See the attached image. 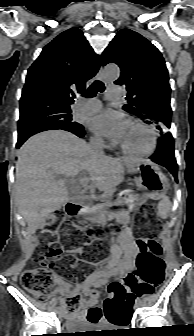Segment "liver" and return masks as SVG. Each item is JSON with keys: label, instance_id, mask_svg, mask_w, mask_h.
Here are the masks:
<instances>
[{"label": "liver", "instance_id": "obj_1", "mask_svg": "<svg viewBox=\"0 0 194 336\" xmlns=\"http://www.w3.org/2000/svg\"><path fill=\"white\" fill-rule=\"evenodd\" d=\"M139 160L98 154L84 140L62 130L32 136L19 149L15 182L28 232L35 233L42 220L69 202L67 178L86 171L94 188L113 192L124 180L125 167ZM86 183L87 179L81 181Z\"/></svg>", "mask_w": 194, "mask_h": 336}]
</instances>
